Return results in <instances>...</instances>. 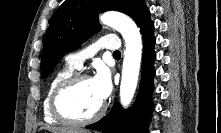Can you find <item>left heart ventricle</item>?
I'll use <instances>...</instances> for the list:
<instances>
[{
	"label": "left heart ventricle",
	"instance_id": "left-heart-ventricle-1",
	"mask_svg": "<svg viewBox=\"0 0 221 133\" xmlns=\"http://www.w3.org/2000/svg\"><path fill=\"white\" fill-rule=\"evenodd\" d=\"M102 100L97 96L92 81L83 80L66 92L61 99L65 113L75 118H85L95 113Z\"/></svg>",
	"mask_w": 221,
	"mask_h": 133
}]
</instances>
